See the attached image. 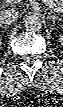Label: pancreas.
Segmentation results:
<instances>
[{"label":"pancreas","instance_id":"cf45deb5","mask_svg":"<svg viewBox=\"0 0 63 107\" xmlns=\"http://www.w3.org/2000/svg\"><path fill=\"white\" fill-rule=\"evenodd\" d=\"M56 8H63V0H52Z\"/></svg>","mask_w":63,"mask_h":107}]
</instances>
